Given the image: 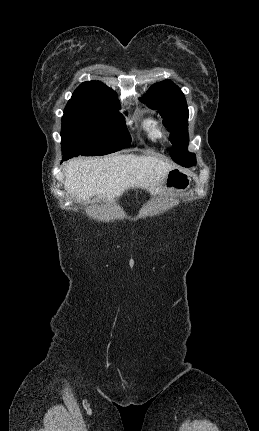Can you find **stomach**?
Instances as JSON below:
<instances>
[{
  "label": "stomach",
  "instance_id": "obj_1",
  "mask_svg": "<svg viewBox=\"0 0 259 431\" xmlns=\"http://www.w3.org/2000/svg\"><path fill=\"white\" fill-rule=\"evenodd\" d=\"M191 178L182 169L170 170L164 180L161 193H182L190 187Z\"/></svg>",
  "mask_w": 259,
  "mask_h": 431
}]
</instances>
